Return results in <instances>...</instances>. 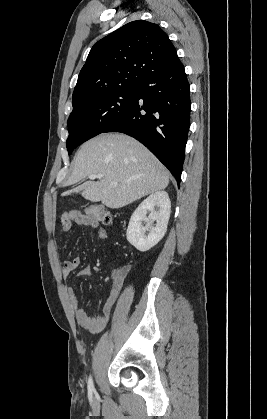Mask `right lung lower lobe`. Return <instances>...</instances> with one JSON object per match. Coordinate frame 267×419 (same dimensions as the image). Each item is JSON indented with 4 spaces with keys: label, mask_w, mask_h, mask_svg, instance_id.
Masks as SVG:
<instances>
[{
    "label": "right lung lower lobe",
    "mask_w": 267,
    "mask_h": 419,
    "mask_svg": "<svg viewBox=\"0 0 267 419\" xmlns=\"http://www.w3.org/2000/svg\"><path fill=\"white\" fill-rule=\"evenodd\" d=\"M189 89L179 60L148 76L126 113L104 130L140 141L170 170L178 185L190 127Z\"/></svg>",
    "instance_id": "98d812e1"
}]
</instances>
